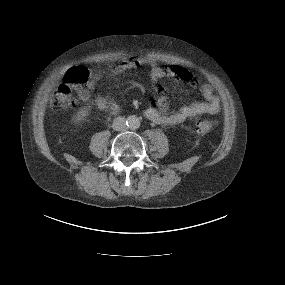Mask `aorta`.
I'll return each instance as SVG.
<instances>
[{"label": "aorta", "mask_w": 285, "mask_h": 285, "mask_svg": "<svg viewBox=\"0 0 285 285\" xmlns=\"http://www.w3.org/2000/svg\"><path fill=\"white\" fill-rule=\"evenodd\" d=\"M127 126L131 130L138 129L140 127V120H139V118L137 116H135V115H130L127 118Z\"/></svg>", "instance_id": "762f6f07"}]
</instances>
